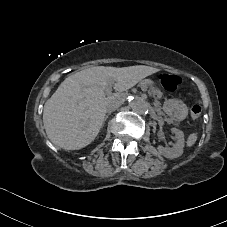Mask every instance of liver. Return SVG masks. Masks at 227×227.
Wrapping results in <instances>:
<instances>
[{
  "instance_id": "liver-1",
  "label": "liver",
  "mask_w": 227,
  "mask_h": 227,
  "mask_svg": "<svg viewBox=\"0 0 227 227\" xmlns=\"http://www.w3.org/2000/svg\"><path fill=\"white\" fill-rule=\"evenodd\" d=\"M158 69L143 65L98 66L67 77L46 101L43 123L50 141L65 150L89 145L98 135L106 113L104 89L112 82L124 91Z\"/></svg>"
}]
</instances>
